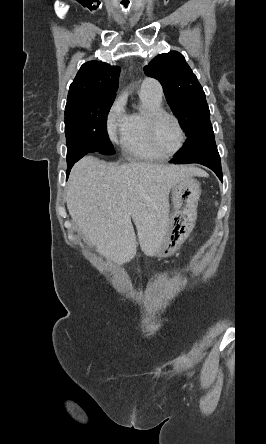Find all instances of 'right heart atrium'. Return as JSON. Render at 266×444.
<instances>
[{
  "instance_id": "right-heart-atrium-1",
  "label": "right heart atrium",
  "mask_w": 266,
  "mask_h": 444,
  "mask_svg": "<svg viewBox=\"0 0 266 444\" xmlns=\"http://www.w3.org/2000/svg\"><path fill=\"white\" fill-rule=\"evenodd\" d=\"M127 117L125 98L121 95L115 99L106 117V132L111 142H116L122 136Z\"/></svg>"
}]
</instances>
